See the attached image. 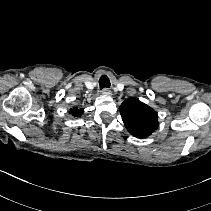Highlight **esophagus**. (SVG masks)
Segmentation results:
<instances>
[{"label": "esophagus", "mask_w": 211, "mask_h": 211, "mask_svg": "<svg viewBox=\"0 0 211 211\" xmlns=\"http://www.w3.org/2000/svg\"><path fill=\"white\" fill-rule=\"evenodd\" d=\"M102 94L105 96H111L112 92L108 88H104Z\"/></svg>", "instance_id": "1"}]
</instances>
